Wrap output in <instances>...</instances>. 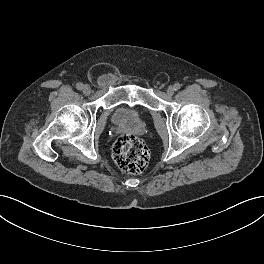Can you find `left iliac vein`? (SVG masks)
<instances>
[{
    "instance_id": "1",
    "label": "left iliac vein",
    "mask_w": 264,
    "mask_h": 264,
    "mask_svg": "<svg viewBox=\"0 0 264 264\" xmlns=\"http://www.w3.org/2000/svg\"><path fill=\"white\" fill-rule=\"evenodd\" d=\"M173 94H174V87L169 86V87L167 88V95H168V96H172Z\"/></svg>"
}]
</instances>
